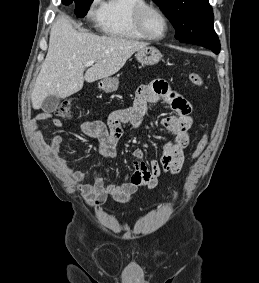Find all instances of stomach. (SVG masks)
Segmentation results:
<instances>
[{
  "mask_svg": "<svg viewBox=\"0 0 259 283\" xmlns=\"http://www.w3.org/2000/svg\"><path fill=\"white\" fill-rule=\"evenodd\" d=\"M136 58L143 65H155L161 60L162 54L157 48L146 46L137 51ZM118 86L119 79L116 77H108L98 83L99 89L107 93L116 91Z\"/></svg>",
  "mask_w": 259,
  "mask_h": 283,
  "instance_id": "0dacf381",
  "label": "stomach"
}]
</instances>
